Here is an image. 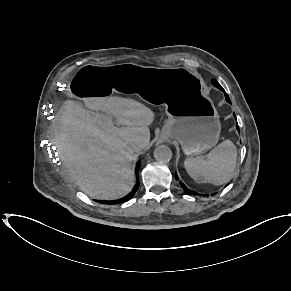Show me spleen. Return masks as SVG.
I'll list each match as a JSON object with an SVG mask.
<instances>
[{
	"mask_svg": "<svg viewBox=\"0 0 291 291\" xmlns=\"http://www.w3.org/2000/svg\"><path fill=\"white\" fill-rule=\"evenodd\" d=\"M237 161V148L225 140L205 156L187 157L184 161L189 176L198 183L222 185L233 176Z\"/></svg>",
	"mask_w": 291,
	"mask_h": 291,
	"instance_id": "spleen-1",
	"label": "spleen"
}]
</instances>
